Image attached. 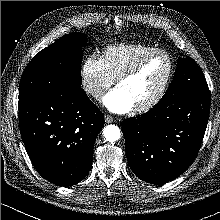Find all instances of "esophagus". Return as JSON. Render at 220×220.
Here are the masks:
<instances>
[{
  "label": "esophagus",
  "instance_id": "34e87169",
  "mask_svg": "<svg viewBox=\"0 0 220 220\" xmlns=\"http://www.w3.org/2000/svg\"><path fill=\"white\" fill-rule=\"evenodd\" d=\"M104 118L106 123H113L115 121V119L110 115H105Z\"/></svg>",
  "mask_w": 220,
  "mask_h": 220
}]
</instances>
